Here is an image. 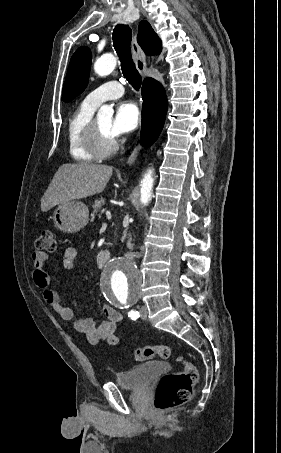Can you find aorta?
Instances as JSON below:
<instances>
[{"label":"aorta","instance_id":"1","mask_svg":"<svg viewBox=\"0 0 281 453\" xmlns=\"http://www.w3.org/2000/svg\"><path fill=\"white\" fill-rule=\"evenodd\" d=\"M116 58L106 54L96 60L94 70L99 76H107L115 69ZM114 113L112 107L104 105L98 111V118L110 119ZM153 171L148 170L141 181V203L147 205L151 200ZM142 278L133 262L124 259L110 260L104 267L100 278V289L107 302L115 306L134 303L141 292Z\"/></svg>","mask_w":281,"mask_h":453}]
</instances>
